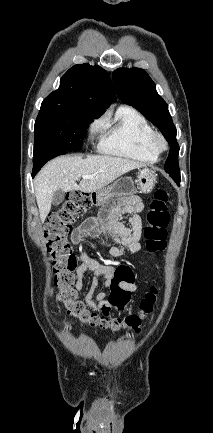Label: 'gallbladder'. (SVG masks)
<instances>
[{
    "mask_svg": "<svg viewBox=\"0 0 213 433\" xmlns=\"http://www.w3.org/2000/svg\"><path fill=\"white\" fill-rule=\"evenodd\" d=\"M64 198H65V192L62 189H57L53 194L52 204L54 206H58L63 202Z\"/></svg>",
    "mask_w": 213,
    "mask_h": 433,
    "instance_id": "bac80fb5",
    "label": "gallbladder"
}]
</instances>
